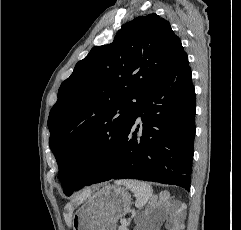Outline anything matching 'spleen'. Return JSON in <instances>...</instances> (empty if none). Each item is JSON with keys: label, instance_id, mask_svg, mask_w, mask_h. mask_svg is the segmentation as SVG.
<instances>
[{"label": "spleen", "instance_id": "1", "mask_svg": "<svg viewBox=\"0 0 241 230\" xmlns=\"http://www.w3.org/2000/svg\"><path fill=\"white\" fill-rule=\"evenodd\" d=\"M118 184L124 185L126 188L130 189L135 194V206L137 208H142L153 195V190L151 186L142 181L123 180L118 182Z\"/></svg>", "mask_w": 241, "mask_h": 230}]
</instances>
